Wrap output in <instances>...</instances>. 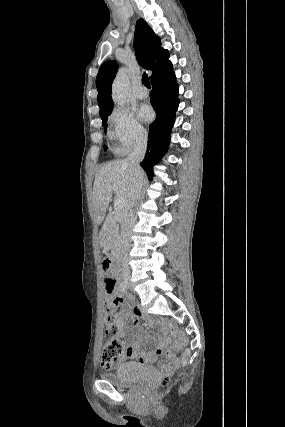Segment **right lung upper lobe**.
I'll use <instances>...</instances> for the list:
<instances>
[{
  "instance_id": "right-lung-upper-lobe-1",
  "label": "right lung upper lobe",
  "mask_w": 285,
  "mask_h": 427,
  "mask_svg": "<svg viewBox=\"0 0 285 427\" xmlns=\"http://www.w3.org/2000/svg\"><path fill=\"white\" fill-rule=\"evenodd\" d=\"M134 47L138 61L141 65L153 72L151 83L162 80L172 73V64L168 60V50L161 47L160 38L155 35L150 26L139 19L136 24ZM118 64L115 61H107L101 65L96 77L98 90V105L101 119L108 117L113 110L111 98V85L117 72Z\"/></svg>"
}]
</instances>
